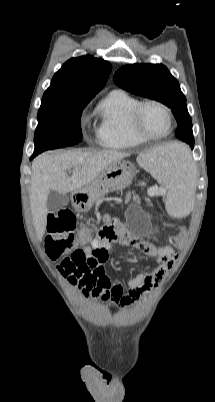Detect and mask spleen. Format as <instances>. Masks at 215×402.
<instances>
[{"mask_svg":"<svg viewBox=\"0 0 215 402\" xmlns=\"http://www.w3.org/2000/svg\"><path fill=\"white\" fill-rule=\"evenodd\" d=\"M137 161L155 179L169 187L165 209L173 216L190 215L200 171L193 169L187 144H165L149 154L140 155Z\"/></svg>","mask_w":215,"mask_h":402,"instance_id":"3e777b00","label":"spleen"}]
</instances>
